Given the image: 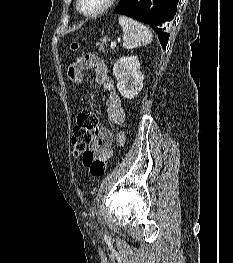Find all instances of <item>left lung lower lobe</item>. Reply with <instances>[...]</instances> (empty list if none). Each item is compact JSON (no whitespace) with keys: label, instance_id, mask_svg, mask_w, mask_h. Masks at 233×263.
Instances as JSON below:
<instances>
[{"label":"left lung lower lobe","instance_id":"0a47b994","mask_svg":"<svg viewBox=\"0 0 233 263\" xmlns=\"http://www.w3.org/2000/svg\"><path fill=\"white\" fill-rule=\"evenodd\" d=\"M179 0H120L114 12L148 24L159 36L162 48L168 43L166 32L177 11Z\"/></svg>","mask_w":233,"mask_h":263}]
</instances>
